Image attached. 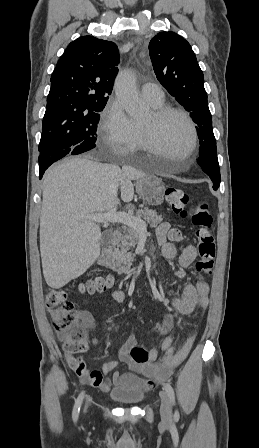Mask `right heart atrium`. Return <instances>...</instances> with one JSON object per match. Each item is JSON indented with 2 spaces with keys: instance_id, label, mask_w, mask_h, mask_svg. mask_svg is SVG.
I'll use <instances>...</instances> for the list:
<instances>
[{
  "instance_id": "obj_1",
  "label": "right heart atrium",
  "mask_w": 259,
  "mask_h": 448,
  "mask_svg": "<svg viewBox=\"0 0 259 448\" xmlns=\"http://www.w3.org/2000/svg\"><path fill=\"white\" fill-rule=\"evenodd\" d=\"M138 135L133 122L123 106L113 99L105 109L98 128V143L103 152H113V157L131 158L136 151Z\"/></svg>"
}]
</instances>
